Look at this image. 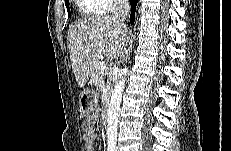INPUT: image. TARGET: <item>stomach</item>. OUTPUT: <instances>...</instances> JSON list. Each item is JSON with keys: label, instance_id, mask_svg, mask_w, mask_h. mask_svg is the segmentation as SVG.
<instances>
[{"label": "stomach", "instance_id": "obj_1", "mask_svg": "<svg viewBox=\"0 0 231 151\" xmlns=\"http://www.w3.org/2000/svg\"><path fill=\"white\" fill-rule=\"evenodd\" d=\"M97 93L92 88H86L79 96V107L82 113L89 114L95 109Z\"/></svg>", "mask_w": 231, "mask_h": 151}]
</instances>
